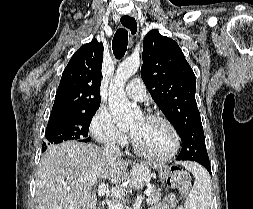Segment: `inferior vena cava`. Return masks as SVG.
<instances>
[{
  "label": "inferior vena cava",
  "instance_id": "1",
  "mask_svg": "<svg viewBox=\"0 0 253 209\" xmlns=\"http://www.w3.org/2000/svg\"><path fill=\"white\" fill-rule=\"evenodd\" d=\"M105 152L111 159L121 160V150L114 139L105 143Z\"/></svg>",
  "mask_w": 253,
  "mask_h": 209
}]
</instances>
